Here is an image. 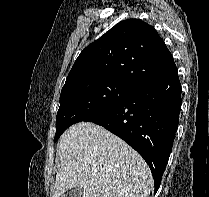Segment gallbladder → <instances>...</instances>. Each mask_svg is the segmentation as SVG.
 Masks as SVG:
<instances>
[{"instance_id": "obj_1", "label": "gallbladder", "mask_w": 209, "mask_h": 197, "mask_svg": "<svg viewBox=\"0 0 209 197\" xmlns=\"http://www.w3.org/2000/svg\"><path fill=\"white\" fill-rule=\"evenodd\" d=\"M61 197H82V191L78 188H73L64 193Z\"/></svg>"}]
</instances>
